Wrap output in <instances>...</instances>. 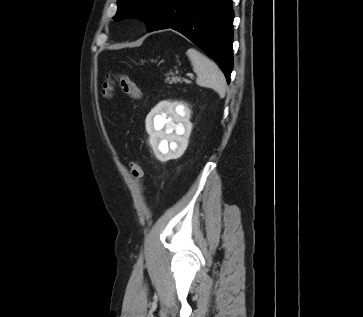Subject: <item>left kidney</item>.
I'll use <instances>...</instances> for the list:
<instances>
[{
    "instance_id": "obj_1",
    "label": "left kidney",
    "mask_w": 363,
    "mask_h": 317,
    "mask_svg": "<svg viewBox=\"0 0 363 317\" xmlns=\"http://www.w3.org/2000/svg\"><path fill=\"white\" fill-rule=\"evenodd\" d=\"M190 111L183 105L162 101L146 119L149 143L163 162L183 155L192 130Z\"/></svg>"
}]
</instances>
